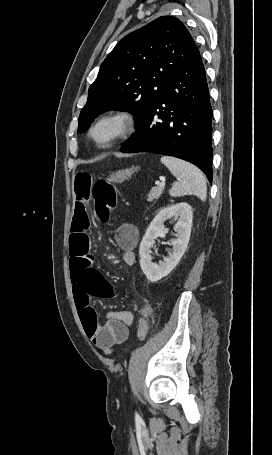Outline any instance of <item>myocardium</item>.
Listing matches in <instances>:
<instances>
[{"label":"myocardium","mask_w":272,"mask_h":455,"mask_svg":"<svg viewBox=\"0 0 272 455\" xmlns=\"http://www.w3.org/2000/svg\"><path fill=\"white\" fill-rule=\"evenodd\" d=\"M105 123H112L116 126L114 135L105 142H98L94 137L95 130ZM137 130V119L135 115L126 109H117L100 114L88 129V138L93 145L101 150L109 149L119 142L129 138Z\"/></svg>","instance_id":"myocardium-1"}]
</instances>
